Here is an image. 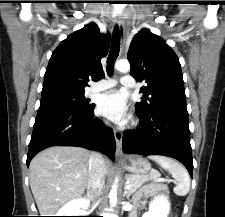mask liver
Instances as JSON below:
<instances>
[{
  "instance_id": "1",
  "label": "liver",
  "mask_w": 225,
  "mask_h": 217,
  "mask_svg": "<svg viewBox=\"0 0 225 217\" xmlns=\"http://www.w3.org/2000/svg\"><path fill=\"white\" fill-rule=\"evenodd\" d=\"M90 151L72 146H53L30 162L29 181L41 216H54L67 202L80 197L89 180ZM105 175L111 172L104 160Z\"/></svg>"
}]
</instances>
